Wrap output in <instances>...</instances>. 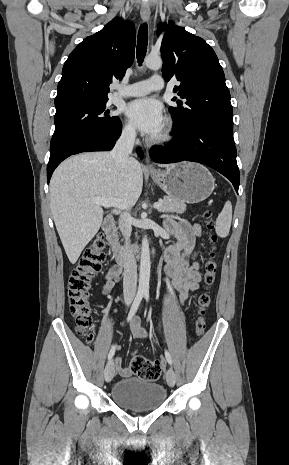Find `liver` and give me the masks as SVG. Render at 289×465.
Listing matches in <instances>:
<instances>
[{
	"label": "liver",
	"mask_w": 289,
	"mask_h": 465,
	"mask_svg": "<svg viewBox=\"0 0 289 465\" xmlns=\"http://www.w3.org/2000/svg\"><path fill=\"white\" fill-rule=\"evenodd\" d=\"M160 166L168 168L170 165ZM142 187L141 164L129 158L123 166H118L111 152L82 153L66 159L57 167L50 181V206L56 229L72 264L77 262L102 225L103 209L93 198H115L130 207L140 197ZM117 211L112 210L113 213Z\"/></svg>",
	"instance_id": "6515ba94"
}]
</instances>
